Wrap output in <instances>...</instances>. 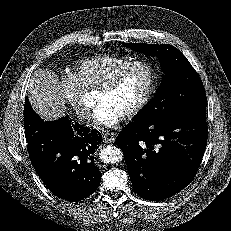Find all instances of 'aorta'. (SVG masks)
I'll use <instances>...</instances> for the list:
<instances>
[{
    "label": "aorta",
    "instance_id": "aorta-1",
    "mask_svg": "<svg viewBox=\"0 0 231 231\" xmlns=\"http://www.w3.org/2000/svg\"><path fill=\"white\" fill-rule=\"evenodd\" d=\"M99 156L105 163L114 164L122 159L123 154L120 148L109 145L101 149Z\"/></svg>",
    "mask_w": 231,
    "mask_h": 231
}]
</instances>
